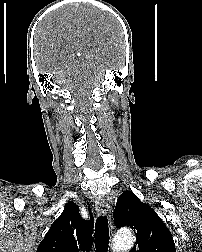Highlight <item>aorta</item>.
Listing matches in <instances>:
<instances>
[{
	"label": "aorta",
	"instance_id": "obj_1",
	"mask_svg": "<svg viewBox=\"0 0 202 252\" xmlns=\"http://www.w3.org/2000/svg\"><path fill=\"white\" fill-rule=\"evenodd\" d=\"M134 244V236L129 230L117 232L113 240V249L116 252L126 251Z\"/></svg>",
	"mask_w": 202,
	"mask_h": 252
}]
</instances>
